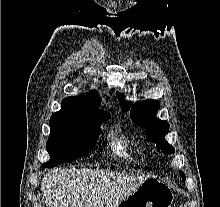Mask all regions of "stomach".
Masks as SVG:
<instances>
[{
    "label": "stomach",
    "instance_id": "obj_1",
    "mask_svg": "<svg viewBox=\"0 0 220 207\" xmlns=\"http://www.w3.org/2000/svg\"><path fill=\"white\" fill-rule=\"evenodd\" d=\"M173 201L174 194L167 184L155 178H145L116 207H171Z\"/></svg>",
    "mask_w": 220,
    "mask_h": 207
}]
</instances>
